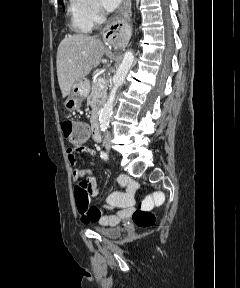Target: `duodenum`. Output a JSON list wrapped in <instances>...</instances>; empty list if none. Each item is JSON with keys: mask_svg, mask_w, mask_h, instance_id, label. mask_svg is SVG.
<instances>
[{"mask_svg": "<svg viewBox=\"0 0 240 288\" xmlns=\"http://www.w3.org/2000/svg\"><path fill=\"white\" fill-rule=\"evenodd\" d=\"M91 127L92 133L96 140L100 139V130H99V116L97 113H94L91 118Z\"/></svg>", "mask_w": 240, "mask_h": 288, "instance_id": "1", "label": "duodenum"}]
</instances>
